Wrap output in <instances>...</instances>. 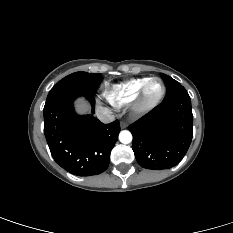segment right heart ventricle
Instances as JSON below:
<instances>
[{"label":"right heart ventricle","mask_w":233,"mask_h":233,"mask_svg":"<svg viewBox=\"0 0 233 233\" xmlns=\"http://www.w3.org/2000/svg\"><path fill=\"white\" fill-rule=\"evenodd\" d=\"M148 79V77L136 78L114 85L106 93V98L115 106L129 104L135 100L139 90Z\"/></svg>","instance_id":"1"}]
</instances>
